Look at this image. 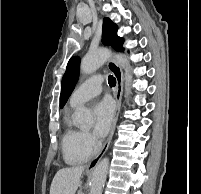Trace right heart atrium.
<instances>
[{
  "label": "right heart atrium",
  "mask_w": 201,
  "mask_h": 194,
  "mask_svg": "<svg viewBox=\"0 0 201 194\" xmlns=\"http://www.w3.org/2000/svg\"><path fill=\"white\" fill-rule=\"evenodd\" d=\"M81 141L83 146L88 150L93 151L96 147V139L90 132L87 131L82 132Z\"/></svg>",
  "instance_id": "obj_1"
}]
</instances>
